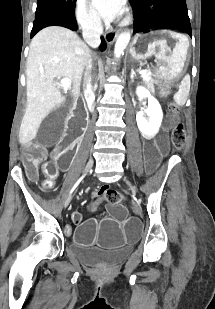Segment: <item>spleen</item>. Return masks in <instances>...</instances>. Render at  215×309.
Here are the masks:
<instances>
[{
  "label": "spleen",
  "mask_w": 215,
  "mask_h": 309,
  "mask_svg": "<svg viewBox=\"0 0 215 309\" xmlns=\"http://www.w3.org/2000/svg\"><path fill=\"white\" fill-rule=\"evenodd\" d=\"M184 84H190V78L188 74H186L185 78H183L180 86H184ZM173 98L176 104H179V106H182V104H185L187 96H184V94H182L181 88H179L178 92L174 94Z\"/></svg>",
  "instance_id": "spleen-1"
}]
</instances>
